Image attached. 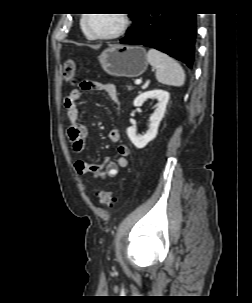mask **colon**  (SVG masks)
I'll return each instance as SVG.
<instances>
[{
  "label": "colon",
  "mask_w": 252,
  "mask_h": 303,
  "mask_svg": "<svg viewBox=\"0 0 252 303\" xmlns=\"http://www.w3.org/2000/svg\"><path fill=\"white\" fill-rule=\"evenodd\" d=\"M76 73V63L73 60H68L64 64L63 76L66 82L72 84L74 82ZM100 203L106 207L110 208L115 202L116 198L112 192L108 190H101L99 192Z\"/></svg>",
  "instance_id": "colon-1"
}]
</instances>
